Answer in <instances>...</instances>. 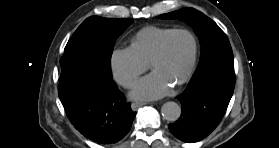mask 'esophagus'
<instances>
[{
  "label": "esophagus",
  "instance_id": "1",
  "mask_svg": "<svg viewBox=\"0 0 279 148\" xmlns=\"http://www.w3.org/2000/svg\"><path fill=\"white\" fill-rule=\"evenodd\" d=\"M145 104H146L145 102H134V103H132L131 107H132V109H137L138 107L145 105Z\"/></svg>",
  "mask_w": 279,
  "mask_h": 148
}]
</instances>
